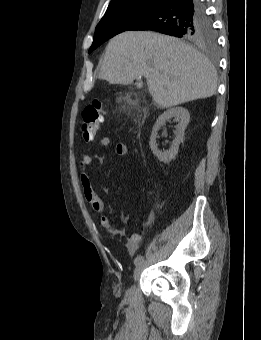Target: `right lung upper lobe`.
I'll return each instance as SVG.
<instances>
[{
	"label": "right lung upper lobe",
	"instance_id": "right-lung-upper-lobe-1",
	"mask_svg": "<svg viewBox=\"0 0 261 340\" xmlns=\"http://www.w3.org/2000/svg\"><path fill=\"white\" fill-rule=\"evenodd\" d=\"M135 1H143V0H112L108 6V8L115 7L118 5H123ZM148 1H161V0H148Z\"/></svg>",
	"mask_w": 261,
	"mask_h": 340
}]
</instances>
